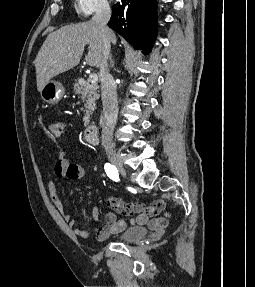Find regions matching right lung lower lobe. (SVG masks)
I'll return each mask as SVG.
<instances>
[{
	"label": "right lung lower lobe",
	"mask_w": 255,
	"mask_h": 287,
	"mask_svg": "<svg viewBox=\"0 0 255 287\" xmlns=\"http://www.w3.org/2000/svg\"><path fill=\"white\" fill-rule=\"evenodd\" d=\"M156 0H121L113 5L108 26L134 49L149 54L157 34Z\"/></svg>",
	"instance_id": "right-lung-lower-lobe-1"
}]
</instances>
